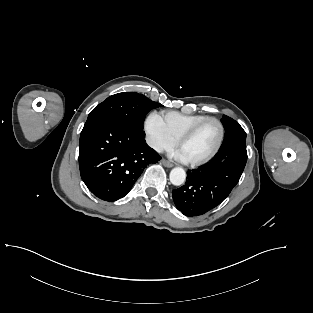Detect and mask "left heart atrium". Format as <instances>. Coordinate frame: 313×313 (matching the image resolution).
<instances>
[{"label": "left heart atrium", "mask_w": 313, "mask_h": 313, "mask_svg": "<svg viewBox=\"0 0 313 313\" xmlns=\"http://www.w3.org/2000/svg\"><path fill=\"white\" fill-rule=\"evenodd\" d=\"M173 156L181 161V162H187L188 160L186 159V157L184 156V154L180 151V150H177L174 152Z\"/></svg>", "instance_id": "left-heart-atrium-1"}]
</instances>
